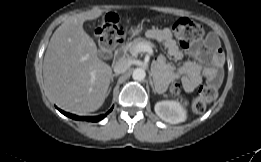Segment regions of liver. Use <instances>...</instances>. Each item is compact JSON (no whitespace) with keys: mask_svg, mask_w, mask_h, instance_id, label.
<instances>
[{"mask_svg":"<svg viewBox=\"0 0 261 162\" xmlns=\"http://www.w3.org/2000/svg\"><path fill=\"white\" fill-rule=\"evenodd\" d=\"M91 10L66 19L48 44L43 77L50 98L62 109L83 115L98 110L105 101L112 69L98 58L93 39L83 23L101 16Z\"/></svg>","mask_w":261,"mask_h":162,"instance_id":"liver-1","label":"liver"}]
</instances>
